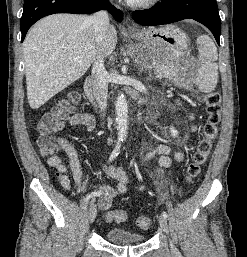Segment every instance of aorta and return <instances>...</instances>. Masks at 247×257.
Listing matches in <instances>:
<instances>
[{
  "instance_id": "obj_1",
  "label": "aorta",
  "mask_w": 247,
  "mask_h": 257,
  "mask_svg": "<svg viewBox=\"0 0 247 257\" xmlns=\"http://www.w3.org/2000/svg\"><path fill=\"white\" fill-rule=\"evenodd\" d=\"M115 111L118 138L124 139L127 137L128 131V107L126 97L123 94L117 97Z\"/></svg>"
}]
</instances>
